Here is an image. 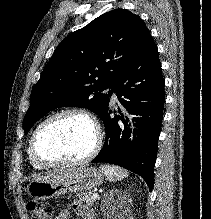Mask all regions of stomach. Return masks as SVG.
Returning <instances> with one entry per match:
<instances>
[{"instance_id": "obj_1", "label": "stomach", "mask_w": 211, "mask_h": 219, "mask_svg": "<svg viewBox=\"0 0 211 219\" xmlns=\"http://www.w3.org/2000/svg\"><path fill=\"white\" fill-rule=\"evenodd\" d=\"M103 181L104 174L101 170L93 167L77 168L61 179L49 182L32 181L28 185V194L39 200L49 199L71 192H87L100 186Z\"/></svg>"}]
</instances>
